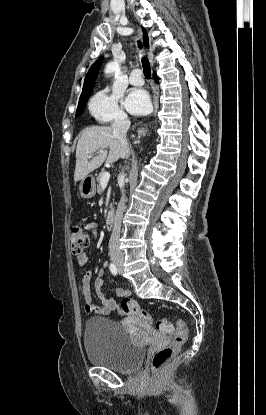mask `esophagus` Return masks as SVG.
<instances>
[{
  "label": "esophagus",
  "instance_id": "1",
  "mask_svg": "<svg viewBox=\"0 0 266 415\" xmlns=\"http://www.w3.org/2000/svg\"><path fill=\"white\" fill-rule=\"evenodd\" d=\"M154 107H155V112H156V110L158 108V93H156L155 96H154ZM145 131L146 130H144V129L143 130H140V133L141 134H144Z\"/></svg>",
  "mask_w": 266,
  "mask_h": 415
}]
</instances>
